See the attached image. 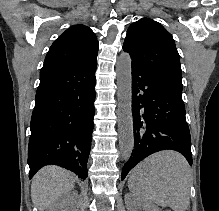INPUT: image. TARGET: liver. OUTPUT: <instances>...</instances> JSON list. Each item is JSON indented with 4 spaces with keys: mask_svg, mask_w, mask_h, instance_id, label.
Returning a JSON list of instances; mask_svg holds the SVG:
<instances>
[{
    "mask_svg": "<svg viewBox=\"0 0 219 211\" xmlns=\"http://www.w3.org/2000/svg\"><path fill=\"white\" fill-rule=\"evenodd\" d=\"M75 175L59 165H45L35 173L31 183V197L39 211L47 209L63 193L74 189Z\"/></svg>",
    "mask_w": 219,
    "mask_h": 211,
    "instance_id": "1",
    "label": "liver"
}]
</instances>
